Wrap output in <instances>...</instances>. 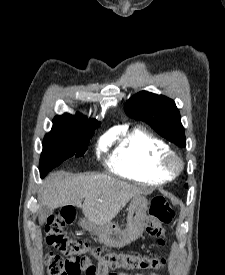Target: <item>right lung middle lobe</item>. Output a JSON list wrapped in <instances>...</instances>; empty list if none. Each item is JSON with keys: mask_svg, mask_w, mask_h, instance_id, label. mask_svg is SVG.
<instances>
[{"mask_svg": "<svg viewBox=\"0 0 225 275\" xmlns=\"http://www.w3.org/2000/svg\"><path fill=\"white\" fill-rule=\"evenodd\" d=\"M96 128L97 126L53 123L51 132L45 135L43 141L40 158L41 177L69 157L82 156Z\"/></svg>", "mask_w": 225, "mask_h": 275, "instance_id": "1", "label": "right lung middle lobe"}]
</instances>
